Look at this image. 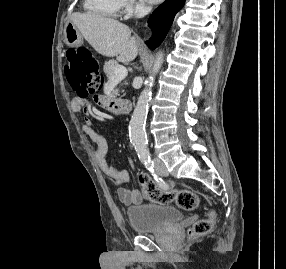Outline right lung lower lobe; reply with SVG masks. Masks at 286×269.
Wrapping results in <instances>:
<instances>
[{"label":"right lung lower lobe","instance_id":"right-lung-lower-lobe-1","mask_svg":"<svg viewBox=\"0 0 286 269\" xmlns=\"http://www.w3.org/2000/svg\"><path fill=\"white\" fill-rule=\"evenodd\" d=\"M185 0H167L153 12L148 20L153 36L146 44L155 49L165 38L176 13L183 7Z\"/></svg>","mask_w":286,"mask_h":269}]
</instances>
